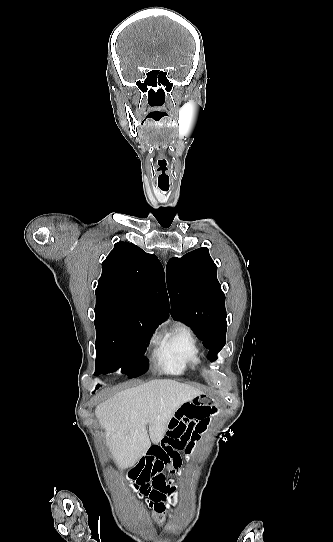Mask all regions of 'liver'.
I'll return each instance as SVG.
<instances>
[{
    "label": "liver",
    "mask_w": 333,
    "mask_h": 542,
    "mask_svg": "<svg viewBox=\"0 0 333 542\" xmlns=\"http://www.w3.org/2000/svg\"><path fill=\"white\" fill-rule=\"evenodd\" d=\"M204 392L175 380H151L118 392L95 410L106 444L120 470L132 468L152 444H160L178 408ZM146 426H149V436Z\"/></svg>",
    "instance_id": "6515ba94"
}]
</instances>
